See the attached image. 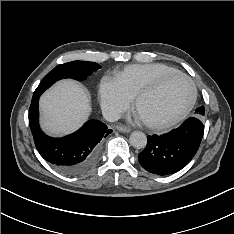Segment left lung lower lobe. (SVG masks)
<instances>
[{
  "mask_svg": "<svg viewBox=\"0 0 234 234\" xmlns=\"http://www.w3.org/2000/svg\"><path fill=\"white\" fill-rule=\"evenodd\" d=\"M203 134L202 119L190 117L169 133L149 136L146 148L138 155L139 163L150 173L173 174L191 161Z\"/></svg>",
  "mask_w": 234,
  "mask_h": 234,
  "instance_id": "0a47b994",
  "label": "left lung lower lobe"
}]
</instances>
